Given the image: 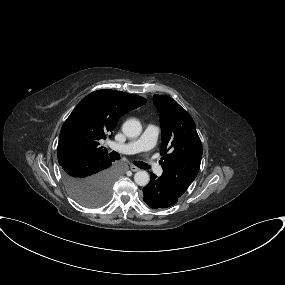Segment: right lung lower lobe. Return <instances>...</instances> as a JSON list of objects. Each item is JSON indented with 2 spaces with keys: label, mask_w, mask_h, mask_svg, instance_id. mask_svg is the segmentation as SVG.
Here are the masks:
<instances>
[{
  "label": "right lung lower lobe",
  "mask_w": 285,
  "mask_h": 285,
  "mask_svg": "<svg viewBox=\"0 0 285 285\" xmlns=\"http://www.w3.org/2000/svg\"><path fill=\"white\" fill-rule=\"evenodd\" d=\"M113 160L108 155H91L61 165L66 181L82 180L84 182H107L115 178Z\"/></svg>",
  "instance_id": "obj_1"
}]
</instances>
